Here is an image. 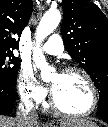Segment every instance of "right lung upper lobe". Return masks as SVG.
<instances>
[{
  "label": "right lung upper lobe",
  "instance_id": "1",
  "mask_svg": "<svg viewBox=\"0 0 108 127\" xmlns=\"http://www.w3.org/2000/svg\"><path fill=\"white\" fill-rule=\"evenodd\" d=\"M32 9V0H0V51L18 48Z\"/></svg>",
  "mask_w": 108,
  "mask_h": 127
}]
</instances>
